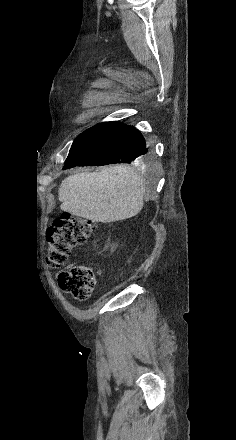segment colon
<instances>
[{
    "label": "colon",
    "mask_w": 236,
    "mask_h": 440,
    "mask_svg": "<svg viewBox=\"0 0 236 440\" xmlns=\"http://www.w3.org/2000/svg\"><path fill=\"white\" fill-rule=\"evenodd\" d=\"M95 229L94 222L71 214L55 219L48 231V265L54 269L66 265L72 250L84 244ZM95 283L94 272L86 264H72L58 274L60 288L80 301L90 297Z\"/></svg>",
    "instance_id": "colon-1"
}]
</instances>
